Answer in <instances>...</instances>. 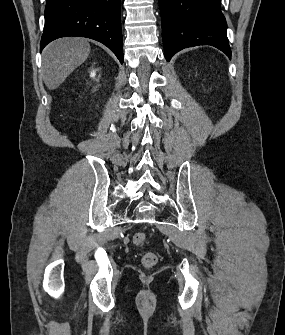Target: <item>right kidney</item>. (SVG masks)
<instances>
[{
  "label": "right kidney",
  "instance_id": "1",
  "mask_svg": "<svg viewBox=\"0 0 285 335\" xmlns=\"http://www.w3.org/2000/svg\"><path fill=\"white\" fill-rule=\"evenodd\" d=\"M96 76V72H91V78H94Z\"/></svg>",
  "mask_w": 285,
  "mask_h": 335
}]
</instances>
